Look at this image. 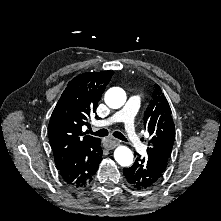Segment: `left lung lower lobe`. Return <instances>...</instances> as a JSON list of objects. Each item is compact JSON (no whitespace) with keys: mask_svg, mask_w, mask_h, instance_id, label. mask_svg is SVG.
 <instances>
[{"mask_svg":"<svg viewBox=\"0 0 221 221\" xmlns=\"http://www.w3.org/2000/svg\"><path fill=\"white\" fill-rule=\"evenodd\" d=\"M165 167L146 157H138L130 168H125L124 175L135 189H147L154 186L163 176Z\"/></svg>","mask_w":221,"mask_h":221,"instance_id":"0a47b994","label":"left lung lower lobe"}]
</instances>
